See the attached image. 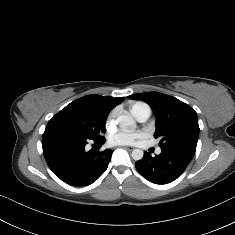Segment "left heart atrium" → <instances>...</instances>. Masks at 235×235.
Returning <instances> with one entry per match:
<instances>
[{
    "label": "left heart atrium",
    "mask_w": 235,
    "mask_h": 235,
    "mask_svg": "<svg viewBox=\"0 0 235 235\" xmlns=\"http://www.w3.org/2000/svg\"><path fill=\"white\" fill-rule=\"evenodd\" d=\"M143 137L141 131L118 130L112 133L108 140L112 145H128Z\"/></svg>",
    "instance_id": "39dd6f15"
}]
</instances>
